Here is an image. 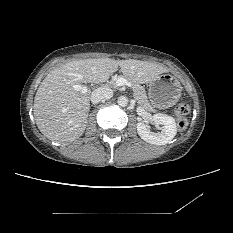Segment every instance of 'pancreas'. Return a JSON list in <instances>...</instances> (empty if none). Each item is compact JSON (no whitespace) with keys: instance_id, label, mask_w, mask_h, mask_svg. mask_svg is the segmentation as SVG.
Masks as SVG:
<instances>
[{"instance_id":"obj_1","label":"pancreas","mask_w":233,"mask_h":233,"mask_svg":"<svg viewBox=\"0 0 233 233\" xmlns=\"http://www.w3.org/2000/svg\"><path fill=\"white\" fill-rule=\"evenodd\" d=\"M120 77L125 78V76H114L111 79L110 84H112L114 87H116V80L118 78H120ZM128 81L131 83V86H132V89H133V92H134L133 96H134L135 100L137 101V103L140 106H142L143 108H145L146 110L153 111V108H152V106L150 105V103L148 101L145 89L136 82H133V81H130V80H128Z\"/></svg>"}]
</instances>
